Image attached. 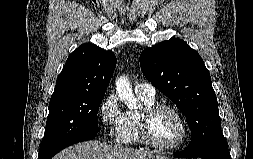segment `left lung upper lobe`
Here are the masks:
<instances>
[{"instance_id": "left-lung-upper-lobe-1", "label": "left lung upper lobe", "mask_w": 253, "mask_h": 159, "mask_svg": "<svg viewBox=\"0 0 253 159\" xmlns=\"http://www.w3.org/2000/svg\"><path fill=\"white\" fill-rule=\"evenodd\" d=\"M145 77L185 115L191 143L200 154L223 136L211 76L201 56L177 38L145 49L140 55Z\"/></svg>"}]
</instances>
